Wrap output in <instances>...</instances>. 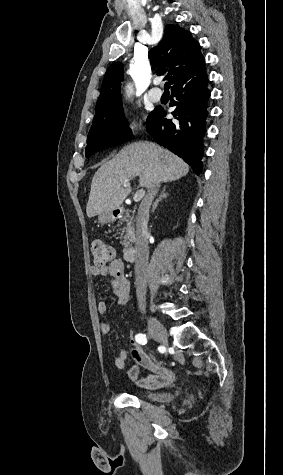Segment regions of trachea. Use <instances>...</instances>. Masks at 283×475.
<instances>
[{"mask_svg": "<svg viewBox=\"0 0 283 475\" xmlns=\"http://www.w3.org/2000/svg\"><path fill=\"white\" fill-rule=\"evenodd\" d=\"M169 88H170V84L166 82L164 85V91L169 92Z\"/></svg>", "mask_w": 283, "mask_h": 475, "instance_id": "3493384b", "label": "trachea"}]
</instances>
